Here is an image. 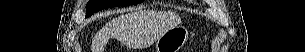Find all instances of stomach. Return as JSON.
<instances>
[{"label": "stomach", "mask_w": 305, "mask_h": 52, "mask_svg": "<svg viewBox=\"0 0 305 52\" xmlns=\"http://www.w3.org/2000/svg\"><path fill=\"white\" fill-rule=\"evenodd\" d=\"M189 36L185 26L178 25L167 30L155 42V52H179Z\"/></svg>", "instance_id": "obj_1"}]
</instances>
